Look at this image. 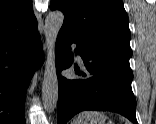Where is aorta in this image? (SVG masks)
Returning <instances> with one entry per match:
<instances>
[{
  "label": "aorta",
  "mask_w": 156,
  "mask_h": 124,
  "mask_svg": "<svg viewBox=\"0 0 156 124\" xmlns=\"http://www.w3.org/2000/svg\"><path fill=\"white\" fill-rule=\"evenodd\" d=\"M64 15L60 11L48 13L44 24V35L47 49L45 70L42 83L43 107L52 113L58 102V79L55 66V43L58 33L63 25Z\"/></svg>",
  "instance_id": "1"
}]
</instances>
